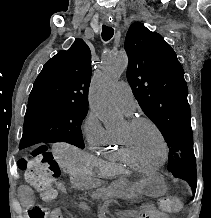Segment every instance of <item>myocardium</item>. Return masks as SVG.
Listing matches in <instances>:
<instances>
[{"instance_id":"obj_1","label":"myocardium","mask_w":211,"mask_h":218,"mask_svg":"<svg viewBox=\"0 0 211 218\" xmlns=\"http://www.w3.org/2000/svg\"><path fill=\"white\" fill-rule=\"evenodd\" d=\"M141 123H146V124L150 125L159 136L162 150H163V156H162L161 161L157 164L152 165V164H147V163L139 161L134 156V154L130 148L129 130L133 129L134 127H136L137 125H139ZM117 135L119 138V142L122 146V149H123L124 153L126 154V156L129 158V160L131 161V163H133L137 166L143 167V168H147V169L157 168L164 163L166 156H167V144H166L165 136H164L162 130L160 129V127L150 118L140 117V116L129 118L125 123V129L118 131Z\"/></svg>"}]
</instances>
